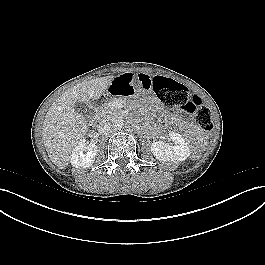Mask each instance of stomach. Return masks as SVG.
Masks as SVG:
<instances>
[{"instance_id": "1", "label": "stomach", "mask_w": 265, "mask_h": 265, "mask_svg": "<svg viewBox=\"0 0 265 265\" xmlns=\"http://www.w3.org/2000/svg\"><path fill=\"white\" fill-rule=\"evenodd\" d=\"M131 81L134 83L136 93H145L150 88V79L145 74H136L132 77Z\"/></svg>"}]
</instances>
